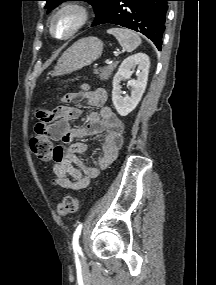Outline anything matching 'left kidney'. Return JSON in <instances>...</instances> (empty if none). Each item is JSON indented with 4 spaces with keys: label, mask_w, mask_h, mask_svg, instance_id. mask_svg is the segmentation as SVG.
Masks as SVG:
<instances>
[{
    "label": "left kidney",
    "mask_w": 216,
    "mask_h": 285,
    "mask_svg": "<svg viewBox=\"0 0 216 285\" xmlns=\"http://www.w3.org/2000/svg\"><path fill=\"white\" fill-rule=\"evenodd\" d=\"M136 66L140 70L136 74L137 79L130 80ZM149 67L150 59L144 53H137L127 57L119 66L113 78L112 101L120 116H127L140 102L147 85ZM123 79H128L127 86L132 88L130 97H122L120 82Z\"/></svg>",
    "instance_id": "5707ae66"
}]
</instances>
